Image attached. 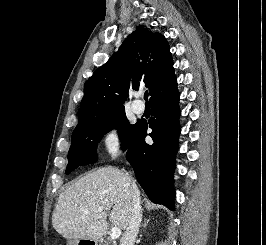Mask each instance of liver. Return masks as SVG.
Masks as SVG:
<instances>
[{"label":"liver","instance_id":"liver-1","mask_svg":"<svg viewBox=\"0 0 266 245\" xmlns=\"http://www.w3.org/2000/svg\"><path fill=\"white\" fill-rule=\"evenodd\" d=\"M131 183L135 181L114 167L97 169L77 179L59 195L52 215L55 231L64 239L98 241L108 231L107 211L113 227L126 231L131 217ZM99 207L103 211H98Z\"/></svg>","mask_w":266,"mask_h":245}]
</instances>
